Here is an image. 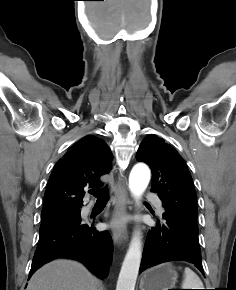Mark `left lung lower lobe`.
<instances>
[{
    "instance_id": "0a47b994",
    "label": "left lung lower lobe",
    "mask_w": 236,
    "mask_h": 290,
    "mask_svg": "<svg viewBox=\"0 0 236 290\" xmlns=\"http://www.w3.org/2000/svg\"><path fill=\"white\" fill-rule=\"evenodd\" d=\"M183 260L194 264L204 275L198 230L163 214L148 233L139 273L157 264Z\"/></svg>"
}]
</instances>
